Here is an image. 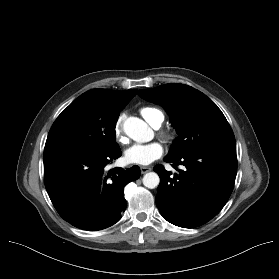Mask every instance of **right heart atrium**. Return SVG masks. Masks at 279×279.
<instances>
[{
	"mask_svg": "<svg viewBox=\"0 0 279 279\" xmlns=\"http://www.w3.org/2000/svg\"><path fill=\"white\" fill-rule=\"evenodd\" d=\"M114 136L117 142L124 144L127 142V138L123 129L122 121L121 119H118L116 123L114 124L113 128Z\"/></svg>",
	"mask_w": 279,
	"mask_h": 279,
	"instance_id": "right-heart-atrium-1",
	"label": "right heart atrium"
}]
</instances>
